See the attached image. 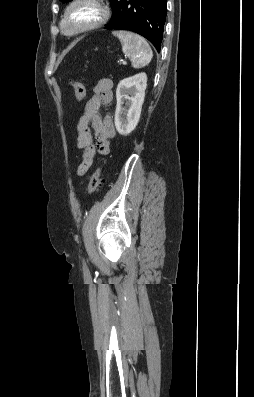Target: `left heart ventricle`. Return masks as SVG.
<instances>
[{
	"label": "left heart ventricle",
	"mask_w": 254,
	"mask_h": 397,
	"mask_svg": "<svg viewBox=\"0 0 254 397\" xmlns=\"http://www.w3.org/2000/svg\"><path fill=\"white\" fill-rule=\"evenodd\" d=\"M98 10L92 5H81L74 9L66 22V27L72 29L93 21L98 16Z\"/></svg>",
	"instance_id": "1"
}]
</instances>
